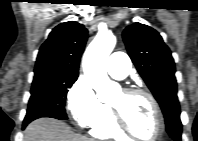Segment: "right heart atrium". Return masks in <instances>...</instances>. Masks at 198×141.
<instances>
[{"label": "right heart atrium", "instance_id": "right-heart-atrium-1", "mask_svg": "<svg viewBox=\"0 0 198 141\" xmlns=\"http://www.w3.org/2000/svg\"><path fill=\"white\" fill-rule=\"evenodd\" d=\"M66 109L72 121L80 127H91L105 114V105L84 77H79L67 92Z\"/></svg>", "mask_w": 198, "mask_h": 141}]
</instances>
